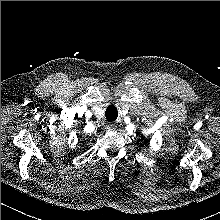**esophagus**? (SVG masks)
Listing matches in <instances>:
<instances>
[{
	"label": "esophagus",
	"mask_w": 220,
	"mask_h": 220,
	"mask_svg": "<svg viewBox=\"0 0 220 220\" xmlns=\"http://www.w3.org/2000/svg\"><path fill=\"white\" fill-rule=\"evenodd\" d=\"M106 129H108V130H115V129H116V126H115L114 124H112V123H108V124L106 125Z\"/></svg>",
	"instance_id": "34e87169"
}]
</instances>
